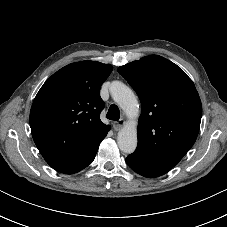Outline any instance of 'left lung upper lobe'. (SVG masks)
Returning a JSON list of instances; mask_svg holds the SVG:
<instances>
[{"label": "left lung upper lobe", "mask_w": 227, "mask_h": 227, "mask_svg": "<svg viewBox=\"0 0 227 227\" xmlns=\"http://www.w3.org/2000/svg\"><path fill=\"white\" fill-rule=\"evenodd\" d=\"M138 94L142 112L131 155L171 169L196 141L202 105L192 80L176 64L150 55L118 68Z\"/></svg>", "instance_id": "1"}]
</instances>
